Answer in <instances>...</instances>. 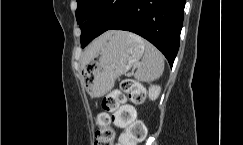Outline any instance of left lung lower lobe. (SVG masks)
Here are the masks:
<instances>
[{"instance_id": "obj_1", "label": "left lung lower lobe", "mask_w": 243, "mask_h": 145, "mask_svg": "<svg viewBox=\"0 0 243 145\" xmlns=\"http://www.w3.org/2000/svg\"><path fill=\"white\" fill-rule=\"evenodd\" d=\"M184 7L185 0H124L113 17L97 20L93 14L87 20L89 33L82 47L109 29L126 30L150 41L172 66L179 49Z\"/></svg>"}]
</instances>
